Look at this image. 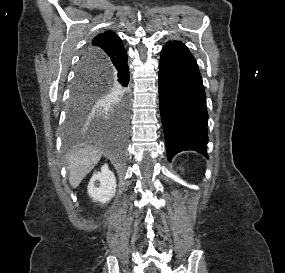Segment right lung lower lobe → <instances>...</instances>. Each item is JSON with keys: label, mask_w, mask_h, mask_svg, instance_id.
Returning a JSON list of instances; mask_svg holds the SVG:
<instances>
[{"label": "right lung lower lobe", "mask_w": 285, "mask_h": 273, "mask_svg": "<svg viewBox=\"0 0 285 273\" xmlns=\"http://www.w3.org/2000/svg\"><path fill=\"white\" fill-rule=\"evenodd\" d=\"M88 66L100 70L106 71L108 74V79L112 81L116 86L124 89L129 83V67L127 64L126 52L117 57L104 58L98 56L88 63ZM122 126H125V119L122 121Z\"/></svg>", "instance_id": "98d812e1"}]
</instances>
